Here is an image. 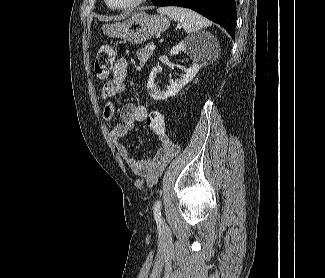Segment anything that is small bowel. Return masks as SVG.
<instances>
[{
  "instance_id": "1",
  "label": "small bowel",
  "mask_w": 325,
  "mask_h": 278,
  "mask_svg": "<svg viewBox=\"0 0 325 278\" xmlns=\"http://www.w3.org/2000/svg\"><path fill=\"white\" fill-rule=\"evenodd\" d=\"M128 63L126 59L119 58L113 67V77L106 82L101 91V100L103 102V118L105 121H111L115 116V105L113 99L116 95L125 91L127 86ZM148 115L147 108L134 103H127L120 112L121 122L116 124L110 134L118 143L120 154L128 161L132 171L153 185L162 175L163 171L170 161L179 153V146L171 142L165 134L160 135L161 146L152 147L153 155L138 156L130 158L127 148L120 143L136 123L145 122Z\"/></svg>"
}]
</instances>
